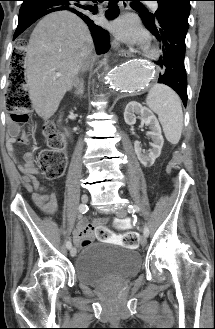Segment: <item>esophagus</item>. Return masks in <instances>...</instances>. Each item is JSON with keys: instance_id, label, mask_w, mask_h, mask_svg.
<instances>
[{"instance_id": "34e87169", "label": "esophagus", "mask_w": 215, "mask_h": 329, "mask_svg": "<svg viewBox=\"0 0 215 329\" xmlns=\"http://www.w3.org/2000/svg\"><path fill=\"white\" fill-rule=\"evenodd\" d=\"M121 6H122V9L123 10H127L128 7H129V4L126 1H124V2H122ZM119 54L121 56H124V57H130V56H132V52L129 51V50H127V49H125V48H121L119 50Z\"/></svg>"}]
</instances>
